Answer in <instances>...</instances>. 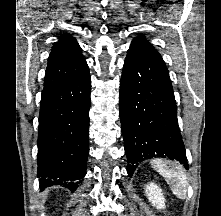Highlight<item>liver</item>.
<instances>
[{
    "label": "liver",
    "mask_w": 221,
    "mask_h": 216,
    "mask_svg": "<svg viewBox=\"0 0 221 216\" xmlns=\"http://www.w3.org/2000/svg\"><path fill=\"white\" fill-rule=\"evenodd\" d=\"M48 192H49V189H47V190L45 191V193H44V195H43L44 198L46 197V195H47Z\"/></svg>",
    "instance_id": "1"
}]
</instances>
